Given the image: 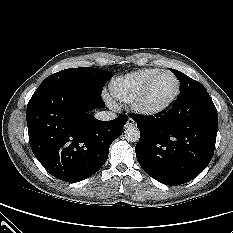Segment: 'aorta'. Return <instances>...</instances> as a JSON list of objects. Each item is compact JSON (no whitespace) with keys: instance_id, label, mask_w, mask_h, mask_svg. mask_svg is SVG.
Here are the masks:
<instances>
[{"instance_id":"1","label":"aorta","mask_w":233,"mask_h":233,"mask_svg":"<svg viewBox=\"0 0 233 233\" xmlns=\"http://www.w3.org/2000/svg\"><path fill=\"white\" fill-rule=\"evenodd\" d=\"M125 138L128 142H137L140 138V131L136 126H129L125 130Z\"/></svg>"}]
</instances>
